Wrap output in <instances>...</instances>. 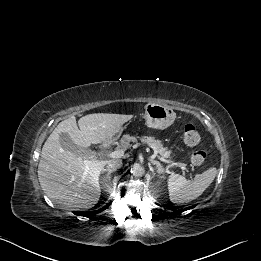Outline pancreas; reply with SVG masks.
Segmentation results:
<instances>
[{
  "instance_id": "1",
  "label": "pancreas",
  "mask_w": 261,
  "mask_h": 261,
  "mask_svg": "<svg viewBox=\"0 0 261 261\" xmlns=\"http://www.w3.org/2000/svg\"><path fill=\"white\" fill-rule=\"evenodd\" d=\"M140 139L143 144L149 145L154 152H157L161 157L169 158L171 151L167 150V148L163 147L160 140H156L154 137L149 136H131L129 134L123 135L122 139L120 140V146L123 148H129L131 146V142H137V139Z\"/></svg>"
}]
</instances>
